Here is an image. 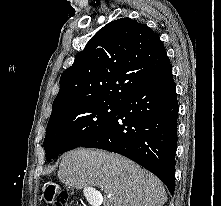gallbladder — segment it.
<instances>
[{
    "label": "gallbladder",
    "instance_id": "bac80fb5",
    "mask_svg": "<svg viewBox=\"0 0 221 206\" xmlns=\"http://www.w3.org/2000/svg\"><path fill=\"white\" fill-rule=\"evenodd\" d=\"M84 198H89L88 205L102 206L101 202H106L103 193H96V189H83Z\"/></svg>",
    "mask_w": 221,
    "mask_h": 206
}]
</instances>
